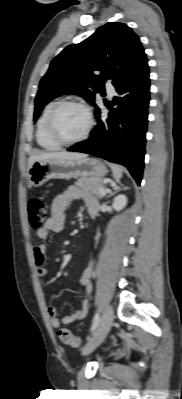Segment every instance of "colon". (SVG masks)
Returning <instances> with one entry per match:
<instances>
[{
	"instance_id": "5ec220e1",
	"label": "colon",
	"mask_w": 182,
	"mask_h": 399,
	"mask_svg": "<svg viewBox=\"0 0 182 399\" xmlns=\"http://www.w3.org/2000/svg\"><path fill=\"white\" fill-rule=\"evenodd\" d=\"M28 215L30 226L34 229H40L48 218V207L46 203L40 198H31L28 202ZM58 336L65 345L74 348L81 346V340L69 329L60 328L58 330Z\"/></svg>"
}]
</instances>
